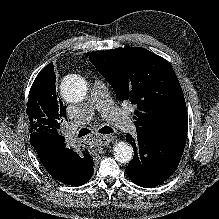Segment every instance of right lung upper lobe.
I'll return each mask as SVG.
<instances>
[{
  "instance_id": "obj_1",
  "label": "right lung upper lobe",
  "mask_w": 219,
  "mask_h": 219,
  "mask_svg": "<svg viewBox=\"0 0 219 219\" xmlns=\"http://www.w3.org/2000/svg\"><path fill=\"white\" fill-rule=\"evenodd\" d=\"M36 101L37 104L48 108L53 112H58V120L62 123L66 118V106H63L62 101L56 95V86H55V73L53 63L47 65L36 77L29 93V102L32 103ZM52 106H55L56 109H53ZM58 108V109H57ZM30 132V141L32 146H36L37 143L44 139H55L59 141H64V137L60 134L52 135L38 129L37 124H32L29 129ZM58 163L55 165L56 172L65 173V164L62 160H57Z\"/></svg>"
}]
</instances>
